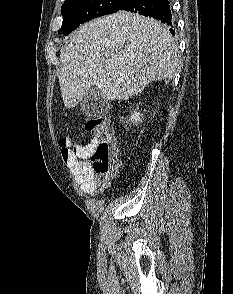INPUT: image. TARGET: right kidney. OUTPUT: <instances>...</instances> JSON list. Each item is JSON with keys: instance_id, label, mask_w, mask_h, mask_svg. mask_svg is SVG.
<instances>
[{"instance_id": "obj_1", "label": "right kidney", "mask_w": 233, "mask_h": 294, "mask_svg": "<svg viewBox=\"0 0 233 294\" xmlns=\"http://www.w3.org/2000/svg\"><path fill=\"white\" fill-rule=\"evenodd\" d=\"M138 110V108H137ZM137 110H135L134 112L131 113V116L129 118V121L133 122L134 124H138L140 122H142V114L140 112H137Z\"/></svg>"}]
</instances>
